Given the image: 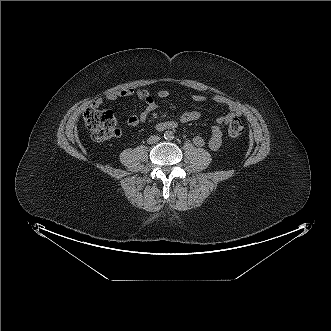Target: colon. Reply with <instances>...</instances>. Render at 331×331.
<instances>
[{"mask_svg":"<svg viewBox=\"0 0 331 331\" xmlns=\"http://www.w3.org/2000/svg\"><path fill=\"white\" fill-rule=\"evenodd\" d=\"M83 119L92 138L98 142L110 140L120 133L117 119L111 110L90 106L85 110ZM228 132L232 137H239L244 132V125L235 118L229 123Z\"/></svg>","mask_w":331,"mask_h":331,"instance_id":"1","label":"colon"}]
</instances>
